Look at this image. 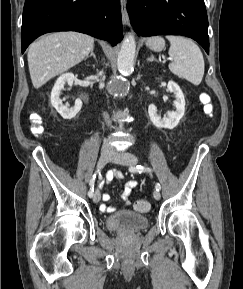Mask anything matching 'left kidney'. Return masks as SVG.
Masks as SVG:
<instances>
[{
	"label": "left kidney",
	"instance_id": "5707ae66",
	"mask_svg": "<svg viewBox=\"0 0 243 289\" xmlns=\"http://www.w3.org/2000/svg\"><path fill=\"white\" fill-rule=\"evenodd\" d=\"M167 88L170 92L175 94L174 106L175 111L169 112L168 117L161 118L157 114V108L154 104L148 107V114L152 123L158 128L173 129L176 127L185 113V98L180 87L173 81H169Z\"/></svg>",
	"mask_w": 243,
	"mask_h": 289
}]
</instances>
